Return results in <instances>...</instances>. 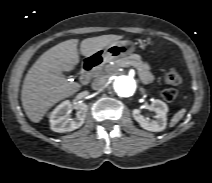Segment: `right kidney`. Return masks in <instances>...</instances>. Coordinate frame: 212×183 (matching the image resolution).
I'll list each match as a JSON object with an SVG mask.
<instances>
[{
  "label": "right kidney",
  "instance_id": "right-kidney-1",
  "mask_svg": "<svg viewBox=\"0 0 212 183\" xmlns=\"http://www.w3.org/2000/svg\"><path fill=\"white\" fill-rule=\"evenodd\" d=\"M72 107L69 100L63 101L50 114L51 130L59 133L73 131L81 127L87 114V105L81 103L78 105L79 111L75 119L68 118V113Z\"/></svg>",
  "mask_w": 212,
  "mask_h": 183
}]
</instances>
